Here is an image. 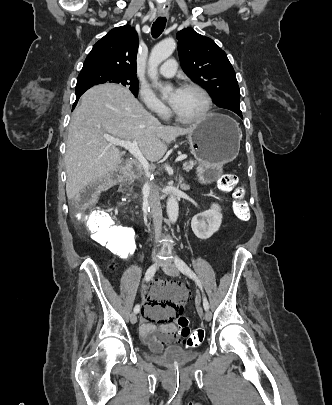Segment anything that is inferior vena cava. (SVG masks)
Masks as SVG:
<instances>
[{
  "label": "inferior vena cava",
  "mask_w": 332,
  "mask_h": 405,
  "mask_svg": "<svg viewBox=\"0 0 332 405\" xmlns=\"http://www.w3.org/2000/svg\"><path fill=\"white\" fill-rule=\"evenodd\" d=\"M147 202L151 208L150 213L152 215L154 225L156 229L159 230L162 224V209L158 201L157 188L153 185L150 188V195L147 198Z\"/></svg>",
  "instance_id": "obj_1"
}]
</instances>
